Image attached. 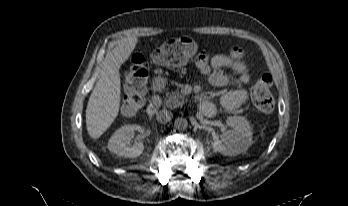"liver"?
<instances>
[{"label": "liver", "instance_id": "obj_1", "mask_svg": "<svg viewBox=\"0 0 348 206\" xmlns=\"http://www.w3.org/2000/svg\"><path fill=\"white\" fill-rule=\"evenodd\" d=\"M137 42L136 37L120 40L104 59L86 109V127L92 139H98L118 115L121 100L119 69L128 60Z\"/></svg>", "mask_w": 348, "mask_h": 206}]
</instances>
